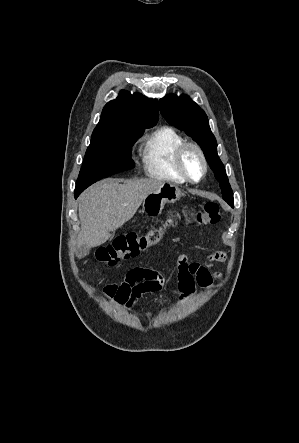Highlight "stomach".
Instances as JSON below:
<instances>
[{
    "instance_id": "1",
    "label": "stomach",
    "mask_w": 299,
    "mask_h": 443,
    "mask_svg": "<svg viewBox=\"0 0 299 443\" xmlns=\"http://www.w3.org/2000/svg\"><path fill=\"white\" fill-rule=\"evenodd\" d=\"M182 196L180 189L171 183H164L154 189L143 201L142 211L155 217L161 214L166 203H174Z\"/></svg>"
}]
</instances>
